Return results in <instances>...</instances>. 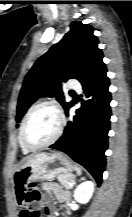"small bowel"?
<instances>
[{"instance_id":"c3829d8e","label":"small bowel","mask_w":132,"mask_h":217,"mask_svg":"<svg viewBox=\"0 0 132 217\" xmlns=\"http://www.w3.org/2000/svg\"><path fill=\"white\" fill-rule=\"evenodd\" d=\"M43 189L47 192H53L56 200L61 204H68L70 202V194L66 190L62 189L59 185L51 182H46L43 184ZM25 190H16V200L20 207H22L19 217H28V213L31 210H38L40 206H44L46 211L49 213L53 209V201L51 197L44 196L40 201L35 203H27L25 201ZM47 217H52L48 215Z\"/></svg>"}]
</instances>
